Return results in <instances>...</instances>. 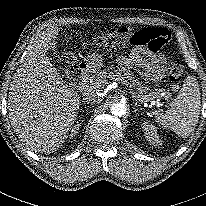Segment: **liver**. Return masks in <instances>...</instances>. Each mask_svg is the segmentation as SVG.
Segmentation results:
<instances>
[{
  "label": "liver",
  "instance_id": "1",
  "mask_svg": "<svg viewBox=\"0 0 206 206\" xmlns=\"http://www.w3.org/2000/svg\"><path fill=\"white\" fill-rule=\"evenodd\" d=\"M58 32V27L51 26L39 34L33 50L14 73L8 94L14 132L27 148L38 153L54 152L64 143L80 106L79 92L64 84L46 55L56 47ZM102 62L100 55L92 54L86 64L98 72ZM83 88L87 87L79 90Z\"/></svg>",
  "mask_w": 206,
  "mask_h": 206
}]
</instances>
